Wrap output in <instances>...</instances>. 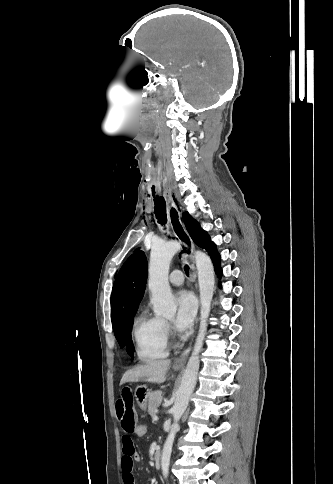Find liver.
<instances>
[{"mask_svg": "<svg viewBox=\"0 0 333 484\" xmlns=\"http://www.w3.org/2000/svg\"><path fill=\"white\" fill-rule=\"evenodd\" d=\"M170 364V360H157L150 361L144 365H138L124 373L120 384L137 382L139 380L158 384L163 383L166 380V374L170 368Z\"/></svg>", "mask_w": 333, "mask_h": 484, "instance_id": "1", "label": "liver"}]
</instances>
